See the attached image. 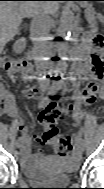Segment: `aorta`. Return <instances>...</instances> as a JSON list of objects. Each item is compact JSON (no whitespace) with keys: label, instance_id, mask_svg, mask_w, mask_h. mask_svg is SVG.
<instances>
[{"label":"aorta","instance_id":"762f6f07","mask_svg":"<svg viewBox=\"0 0 104 189\" xmlns=\"http://www.w3.org/2000/svg\"><path fill=\"white\" fill-rule=\"evenodd\" d=\"M73 20H74V13L71 10V5H66V7L64 8V12H63V17H62V21L61 24L58 28L59 33L57 36V49L59 52L60 57L63 59L64 57L67 56L68 50H67V44H66V38H68L71 35V28H72V24H73ZM56 73L54 74V78H55V82H64L65 80V76L66 73L64 71L65 69V64L64 62L60 61L58 62V64L56 65Z\"/></svg>","mask_w":104,"mask_h":189}]
</instances>
